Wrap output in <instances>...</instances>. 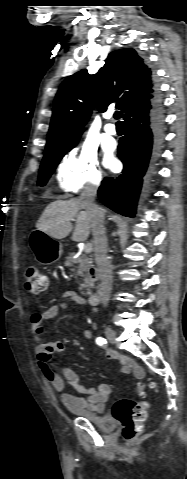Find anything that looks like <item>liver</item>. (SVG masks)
<instances>
[{
	"label": "liver",
	"instance_id": "1",
	"mask_svg": "<svg viewBox=\"0 0 187 479\" xmlns=\"http://www.w3.org/2000/svg\"><path fill=\"white\" fill-rule=\"evenodd\" d=\"M76 221L72 240L85 241L91 230V219L79 199L57 200L50 203L37 221V230L54 239L67 237L73 229L71 221Z\"/></svg>",
	"mask_w": 187,
	"mask_h": 479
}]
</instances>
